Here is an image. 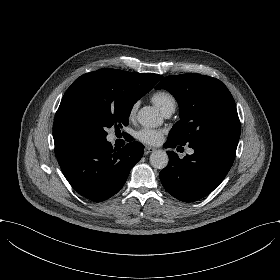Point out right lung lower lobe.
<instances>
[{
	"instance_id": "98d812e1",
	"label": "right lung lower lobe",
	"mask_w": 280,
	"mask_h": 280,
	"mask_svg": "<svg viewBox=\"0 0 280 280\" xmlns=\"http://www.w3.org/2000/svg\"><path fill=\"white\" fill-rule=\"evenodd\" d=\"M142 155L143 145L139 142L116 150L104 140L78 144L56 157L73 189L91 201L101 202L123 187Z\"/></svg>"
}]
</instances>
